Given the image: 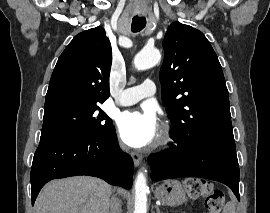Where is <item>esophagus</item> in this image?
<instances>
[{
    "label": "esophagus",
    "mask_w": 270,
    "mask_h": 213,
    "mask_svg": "<svg viewBox=\"0 0 270 213\" xmlns=\"http://www.w3.org/2000/svg\"><path fill=\"white\" fill-rule=\"evenodd\" d=\"M131 156H132L134 165L136 167H138L140 165L141 161H142V156L139 153H136V152H132Z\"/></svg>",
    "instance_id": "1"
}]
</instances>
